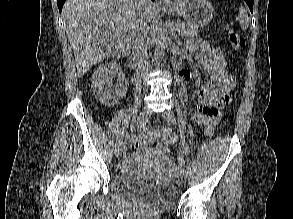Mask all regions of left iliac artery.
Here are the masks:
<instances>
[{
    "instance_id": "44dca946",
    "label": "left iliac artery",
    "mask_w": 293,
    "mask_h": 219,
    "mask_svg": "<svg viewBox=\"0 0 293 219\" xmlns=\"http://www.w3.org/2000/svg\"><path fill=\"white\" fill-rule=\"evenodd\" d=\"M176 113H177V119L180 127V151H179V158L180 160L185 163L188 160V145L185 139V126H184V118L183 113L180 105L176 104Z\"/></svg>"
}]
</instances>
